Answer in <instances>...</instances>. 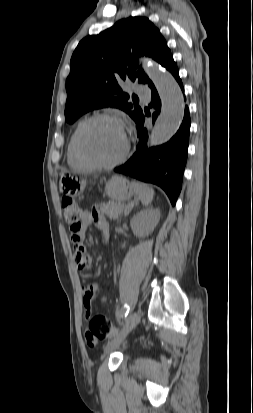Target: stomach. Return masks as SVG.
I'll use <instances>...</instances> for the list:
<instances>
[{
  "mask_svg": "<svg viewBox=\"0 0 253 413\" xmlns=\"http://www.w3.org/2000/svg\"><path fill=\"white\" fill-rule=\"evenodd\" d=\"M60 192L70 196H80L86 187V181L74 174L64 173L60 178ZM105 192L109 198L116 202H124L134 195V188L130 182L122 176H113L105 186Z\"/></svg>",
  "mask_w": 253,
  "mask_h": 413,
  "instance_id": "0dacf381",
  "label": "stomach"
}]
</instances>
